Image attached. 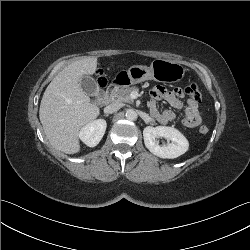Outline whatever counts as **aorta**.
Wrapping results in <instances>:
<instances>
[{
  "label": "aorta",
  "mask_w": 250,
  "mask_h": 250,
  "mask_svg": "<svg viewBox=\"0 0 250 250\" xmlns=\"http://www.w3.org/2000/svg\"><path fill=\"white\" fill-rule=\"evenodd\" d=\"M138 117L137 112L133 109H129L126 111V118L130 121L136 120Z\"/></svg>",
  "instance_id": "aorta-1"
}]
</instances>
